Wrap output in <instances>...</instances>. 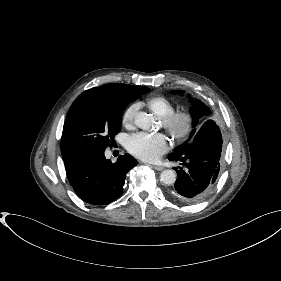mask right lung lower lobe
Wrapping results in <instances>:
<instances>
[{"label":"right lung lower lobe","instance_id":"98d812e1","mask_svg":"<svg viewBox=\"0 0 281 281\" xmlns=\"http://www.w3.org/2000/svg\"><path fill=\"white\" fill-rule=\"evenodd\" d=\"M136 165L137 161L127 153L111 163L104 151H99L79 156L65 169L70 184L83 201L105 205L120 196L127 172Z\"/></svg>","mask_w":281,"mask_h":281}]
</instances>
